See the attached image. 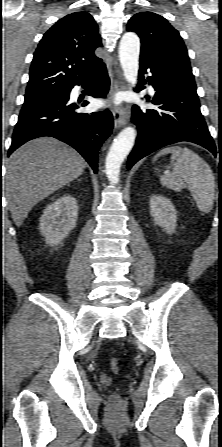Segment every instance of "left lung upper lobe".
<instances>
[{
	"label": "left lung upper lobe",
	"instance_id": "1",
	"mask_svg": "<svg viewBox=\"0 0 222 447\" xmlns=\"http://www.w3.org/2000/svg\"><path fill=\"white\" fill-rule=\"evenodd\" d=\"M127 30L137 33L141 39L140 59L149 60L196 89L184 42L165 18L152 12H140L130 18Z\"/></svg>",
	"mask_w": 222,
	"mask_h": 447
}]
</instances>
